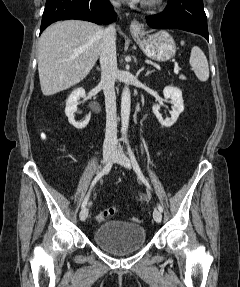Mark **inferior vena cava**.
<instances>
[{
	"label": "inferior vena cava",
	"mask_w": 240,
	"mask_h": 287,
	"mask_svg": "<svg viewBox=\"0 0 240 287\" xmlns=\"http://www.w3.org/2000/svg\"><path fill=\"white\" fill-rule=\"evenodd\" d=\"M115 6L119 3H114ZM116 29L111 24L103 30L102 48L100 53L101 82L106 107V131L104 149L113 148L117 143V117H116V95L114 90L115 78L117 76L116 57Z\"/></svg>",
	"instance_id": "inferior-vena-cava-1"
}]
</instances>
